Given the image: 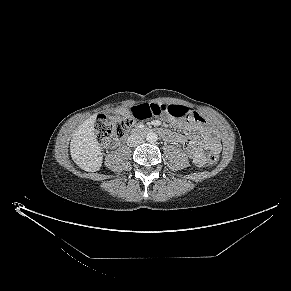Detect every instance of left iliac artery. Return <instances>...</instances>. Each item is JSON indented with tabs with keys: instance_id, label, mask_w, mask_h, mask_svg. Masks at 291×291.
I'll use <instances>...</instances> for the list:
<instances>
[{
	"instance_id": "left-iliac-artery-1",
	"label": "left iliac artery",
	"mask_w": 291,
	"mask_h": 291,
	"mask_svg": "<svg viewBox=\"0 0 291 291\" xmlns=\"http://www.w3.org/2000/svg\"><path fill=\"white\" fill-rule=\"evenodd\" d=\"M152 141H156L157 140V137L156 136H152Z\"/></svg>"
}]
</instances>
